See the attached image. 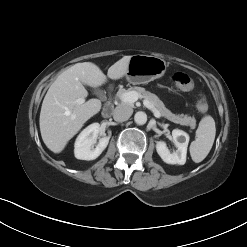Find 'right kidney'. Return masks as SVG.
Instances as JSON below:
<instances>
[{
	"mask_svg": "<svg viewBox=\"0 0 247 247\" xmlns=\"http://www.w3.org/2000/svg\"><path fill=\"white\" fill-rule=\"evenodd\" d=\"M99 131L100 124L93 123L78 135L74 145V154L77 159L94 160L106 149L109 143L107 136L99 138V142L94 148Z\"/></svg>",
	"mask_w": 247,
	"mask_h": 247,
	"instance_id": "1",
	"label": "right kidney"
}]
</instances>
